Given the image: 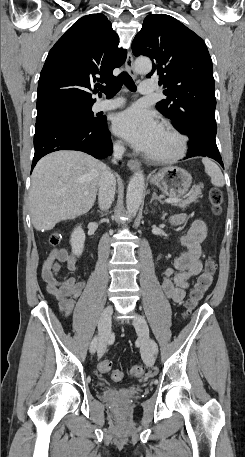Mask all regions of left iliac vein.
<instances>
[{
  "label": "left iliac vein",
  "mask_w": 245,
  "mask_h": 457,
  "mask_svg": "<svg viewBox=\"0 0 245 457\" xmlns=\"http://www.w3.org/2000/svg\"><path fill=\"white\" fill-rule=\"evenodd\" d=\"M134 326L139 333L143 360L147 366L151 367L155 362V355L149 341L148 324L143 317L137 316L134 319Z\"/></svg>",
  "instance_id": "4c4485c4"
}]
</instances>
